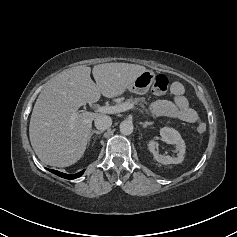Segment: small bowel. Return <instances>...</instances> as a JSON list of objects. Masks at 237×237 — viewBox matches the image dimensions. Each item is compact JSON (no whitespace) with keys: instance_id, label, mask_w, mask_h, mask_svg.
<instances>
[{"instance_id":"obj_1","label":"small bowel","mask_w":237,"mask_h":237,"mask_svg":"<svg viewBox=\"0 0 237 237\" xmlns=\"http://www.w3.org/2000/svg\"><path fill=\"white\" fill-rule=\"evenodd\" d=\"M184 92L183 85L179 82H174L171 86L174 101H155L150 104V110L156 115L173 116L188 124H197L199 122L198 113L190 106Z\"/></svg>"}]
</instances>
